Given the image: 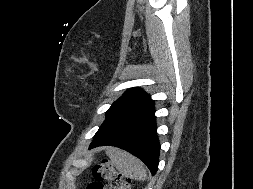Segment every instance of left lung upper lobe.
I'll return each mask as SVG.
<instances>
[{
	"label": "left lung upper lobe",
	"mask_w": 253,
	"mask_h": 189,
	"mask_svg": "<svg viewBox=\"0 0 253 189\" xmlns=\"http://www.w3.org/2000/svg\"><path fill=\"white\" fill-rule=\"evenodd\" d=\"M154 101L150 96L133 88L125 92L106 112V119L95 134L96 137L105 134L131 119L153 109ZM94 136V137H95Z\"/></svg>",
	"instance_id": "left-lung-upper-lobe-1"
}]
</instances>
